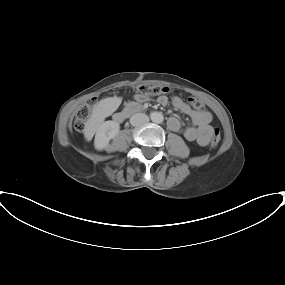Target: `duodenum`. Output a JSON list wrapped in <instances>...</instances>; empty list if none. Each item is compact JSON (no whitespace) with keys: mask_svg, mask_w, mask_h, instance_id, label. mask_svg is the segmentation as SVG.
I'll return each instance as SVG.
<instances>
[{"mask_svg":"<svg viewBox=\"0 0 285 285\" xmlns=\"http://www.w3.org/2000/svg\"><path fill=\"white\" fill-rule=\"evenodd\" d=\"M140 110V107L136 104H129L123 111L115 115V120L118 122H124L129 116Z\"/></svg>","mask_w":285,"mask_h":285,"instance_id":"1","label":"duodenum"}]
</instances>
